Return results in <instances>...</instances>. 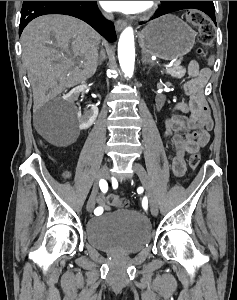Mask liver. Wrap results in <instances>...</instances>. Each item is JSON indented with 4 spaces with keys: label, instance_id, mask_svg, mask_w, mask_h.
Listing matches in <instances>:
<instances>
[{
    "label": "liver",
    "instance_id": "liver-1",
    "mask_svg": "<svg viewBox=\"0 0 237 300\" xmlns=\"http://www.w3.org/2000/svg\"><path fill=\"white\" fill-rule=\"evenodd\" d=\"M101 39L92 27L67 15H43L25 27L22 61L35 107L48 95H59L94 75Z\"/></svg>",
    "mask_w": 237,
    "mask_h": 300
}]
</instances>
